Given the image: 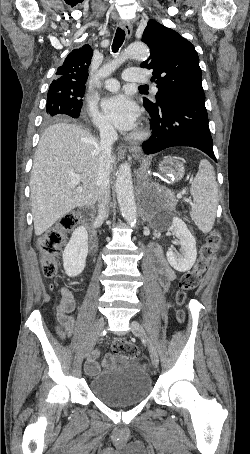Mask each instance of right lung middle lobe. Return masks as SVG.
<instances>
[{
  "label": "right lung middle lobe",
  "mask_w": 250,
  "mask_h": 454,
  "mask_svg": "<svg viewBox=\"0 0 250 454\" xmlns=\"http://www.w3.org/2000/svg\"><path fill=\"white\" fill-rule=\"evenodd\" d=\"M85 89L75 93L57 92V90H49L47 95L45 121L50 122L61 116H69L78 118L82 108V98Z\"/></svg>",
  "instance_id": "1"
}]
</instances>
